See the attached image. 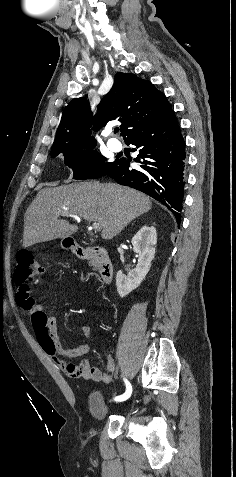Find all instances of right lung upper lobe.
Returning <instances> with one entry per match:
<instances>
[{
    "label": "right lung upper lobe",
    "mask_w": 236,
    "mask_h": 477,
    "mask_svg": "<svg viewBox=\"0 0 236 477\" xmlns=\"http://www.w3.org/2000/svg\"><path fill=\"white\" fill-rule=\"evenodd\" d=\"M99 116L92 117L86 98H75L66 106L57 129L51 152L74 151L95 145L90 126H105L119 117L121 135L126 141L132 134L163 122L172 112L166 97L151 82L129 73H117L111 90L98 105Z\"/></svg>",
    "instance_id": "1"
}]
</instances>
